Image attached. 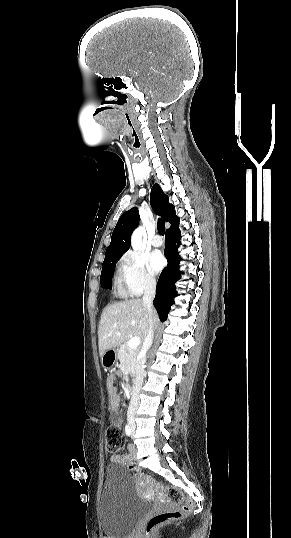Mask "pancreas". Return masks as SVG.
Returning <instances> with one entry per match:
<instances>
[{
	"instance_id": "1",
	"label": "pancreas",
	"mask_w": 291,
	"mask_h": 538,
	"mask_svg": "<svg viewBox=\"0 0 291 538\" xmlns=\"http://www.w3.org/2000/svg\"><path fill=\"white\" fill-rule=\"evenodd\" d=\"M137 349L130 348L128 341L123 342L118 348V359L121 370L127 373H133L136 367Z\"/></svg>"
}]
</instances>
